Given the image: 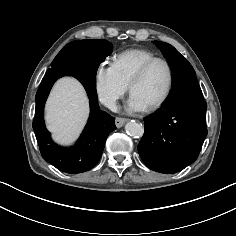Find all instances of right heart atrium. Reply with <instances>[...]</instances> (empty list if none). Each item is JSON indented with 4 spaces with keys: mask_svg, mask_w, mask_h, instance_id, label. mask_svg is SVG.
Returning a JSON list of instances; mask_svg holds the SVG:
<instances>
[{
    "mask_svg": "<svg viewBox=\"0 0 236 236\" xmlns=\"http://www.w3.org/2000/svg\"><path fill=\"white\" fill-rule=\"evenodd\" d=\"M94 90L103 104L114 109L127 93L128 86L122 82L112 65L100 64L94 71Z\"/></svg>",
    "mask_w": 236,
    "mask_h": 236,
    "instance_id": "d8ad5b80",
    "label": "right heart atrium"
}]
</instances>
